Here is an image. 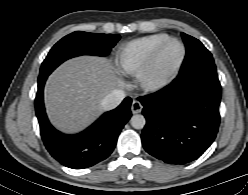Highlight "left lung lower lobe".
<instances>
[{
	"instance_id": "obj_1",
	"label": "left lung lower lobe",
	"mask_w": 248,
	"mask_h": 195,
	"mask_svg": "<svg viewBox=\"0 0 248 195\" xmlns=\"http://www.w3.org/2000/svg\"><path fill=\"white\" fill-rule=\"evenodd\" d=\"M144 106V149L170 164L200 157L219 128L221 85L217 74L181 76L163 89L138 98Z\"/></svg>"
}]
</instances>
